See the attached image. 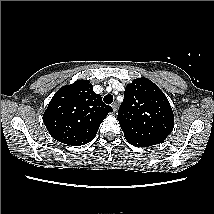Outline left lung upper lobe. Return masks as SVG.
I'll use <instances>...</instances> for the list:
<instances>
[{"mask_svg":"<svg viewBox=\"0 0 214 214\" xmlns=\"http://www.w3.org/2000/svg\"><path fill=\"white\" fill-rule=\"evenodd\" d=\"M117 119L128 142L146 146L162 143L174 127L167 97L147 78L126 86Z\"/></svg>","mask_w":214,"mask_h":214,"instance_id":"obj_1","label":"left lung upper lobe"}]
</instances>
